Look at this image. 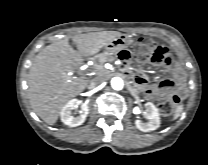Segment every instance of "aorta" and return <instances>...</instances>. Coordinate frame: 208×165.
<instances>
[{
  "instance_id": "obj_1",
  "label": "aorta",
  "mask_w": 208,
  "mask_h": 165,
  "mask_svg": "<svg viewBox=\"0 0 208 165\" xmlns=\"http://www.w3.org/2000/svg\"><path fill=\"white\" fill-rule=\"evenodd\" d=\"M111 86L114 90H121L124 86L123 80L120 77L111 79Z\"/></svg>"
}]
</instances>
